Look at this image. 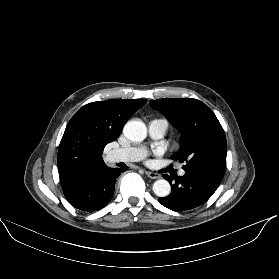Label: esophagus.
<instances>
[{
  "label": "esophagus",
  "mask_w": 279,
  "mask_h": 279,
  "mask_svg": "<svg viewBox=\"0 0 279 279\" xmlns=\"http://www.w3.org/2000/svg\"><path fill=\"white\" fill-rule=\"evenodd\" d=\"M145 174L151 179H159L161 176L158 173L146 171Z\"/></svg>",
  "instance_id": "esophagus-1"
}]
</instances>
